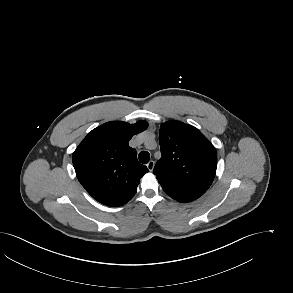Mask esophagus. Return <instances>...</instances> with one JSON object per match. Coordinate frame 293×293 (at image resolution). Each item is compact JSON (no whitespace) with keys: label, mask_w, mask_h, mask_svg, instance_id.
Listing matches in <instances>:
<instances>
[{"label":"esophagus","mask_w":293,"mask_h":293,"mask_svg":"<svg viewBox=\"0 0 293 293\" xmlns=\"http://www.w3.org/2000/svg\"><path fill=\"white\" fill-rule=\"evenodd\" d=\"M154 166H155V163L152 160L149 161L148 164H147V168H148L149 171H153Z\"/></svg>","instance_id":"obj_1"}]
</instances>
